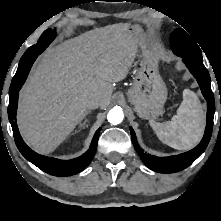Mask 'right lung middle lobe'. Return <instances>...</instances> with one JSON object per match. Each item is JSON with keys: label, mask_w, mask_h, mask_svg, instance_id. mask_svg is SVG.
I'll list each match as a JSON object with an SVG mask.
<instances>
[{"label": "right lung middle lobe", "mask_w": 221, "mask_h": 221, "mask_svg": "<svg viewBox=\"0 0 221 221\" xmlns=\"http://www.w3.org/2000/svg\"><path fill=\"white\" fill-rule=\"evenodd\" d=\"M55 34H56L55 29L54 30L47 29L46 31L43 32L37 44L31 46L28 50L29 51L41 50L43 52L45 48L53 41Z\"/></svg>", "instance_id": "obj_1"}]
</instances>
